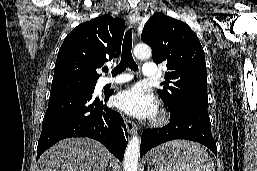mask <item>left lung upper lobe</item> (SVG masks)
I'll return each instance as SVG.
<instances>
[{
    "mask_svg": "<svg viewBox=\"0 0 257 171\" xmlns=\"http://www.w3.org/2000/svg\"><path fill=\"white\" fill-rule=\"evenodd\" d=\"M141 39L151 46L155 63L167 62L159 96L169 109L182 105L208 106L205 54L197 35L184 22L155 13Z\"/></svg>",
    "mask_w": 257,
    "mask_h": 171,
    "instance_id": "obj_1",
    "label": "left lung upper lobe"
}]
</instances>
